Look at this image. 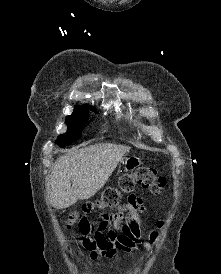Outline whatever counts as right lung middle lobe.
<instances>
[{
    "instance_id": "1",
    "label": "right lung middle lobe",
    "mask_w": 221,
    "mask_h": 274,
    "mask_svg": "<svg viewBox=\"0 0 221 274\" xmlns=\"http://www.w3.org/2000/svg\"><path fill=\"white\" fill-rule=\"evenodd\" d=\"M88 109L96 112V109L91 106H86ZM89 114L85 107L76 106L72 115L67 116L66 122L68 130L65 134L58 136L57 144L61 147L69 145L81 137V131L88 121Z\"/></svg>"
}]
</instances>
